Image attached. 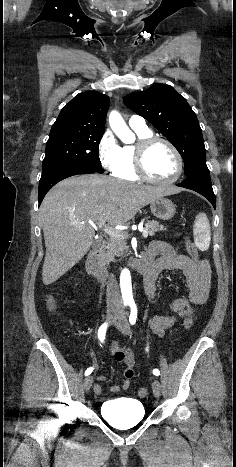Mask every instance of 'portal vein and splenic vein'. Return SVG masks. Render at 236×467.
<instances>
[{
  "label": "portal vein and splenic vein",
  "instance_id": "1",
  "mask_svg": "<svg viewBox=\"0 0 236 467\" xmlns=\"http://www.w3.org/2000/svg\"><path fill=\"white\" fill-rule=\"evenodd\" d=\"M98 227L101 228L106 234H108V235H110L112 237L121 238V239L126 238L125 232H123L122 230H119L118 228H113V227H110V226H106L105 225V220H102L98 224ZM140 231L142 232L144 238H146L148 236L147 228H145V229L142 228Z\"/></svg>",
  "mask_w": 236,
  "mask_h": 467
}]
</instances>
